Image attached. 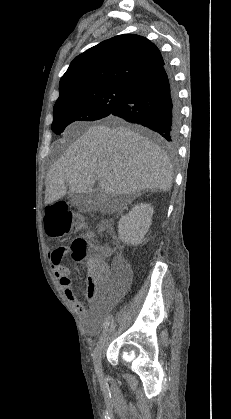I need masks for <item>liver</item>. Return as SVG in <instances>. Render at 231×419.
<instances>
[{
	"label": "liver",
	"mask_w": 231,
	"mask_h": 419,
	"mask_svg": "<svg viewBox=\"0 0 231 419\" xmlns=\"http://www.w3.org/2000/svg\"><path fill=\"white\" fill-rule=\"evenodd\" d=\"M106 194L127 195L142 190L168 191L172 167L154 142L123 125L90 127L51 167L46 177L45 204L70 191L92 192L95 182Z\"/></svg>",
	"instance_id": "1"
}]
</instances>
